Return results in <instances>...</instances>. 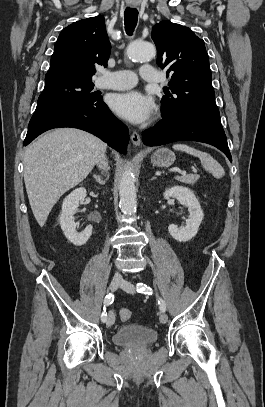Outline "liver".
I'll list each match as a JSON object with an SVG mask.
<instances>
[{
	"label": "liver",
	"instance_id": "liver-1",
	"mask_svg": "<svg viewBox=\"0 0 265 407\" xmlns=\"http://www.w3.org/2000/svg\"><path fill=\"white\" fill-rule=\"evenodd\" d=\"M105 152L103 141L75 128L55 129L26 148L24 182L41 227L59 198L83 181Z\"/></svg>",
	"mask_w": 265,
	"mask_h": 407
}]
</instances>
